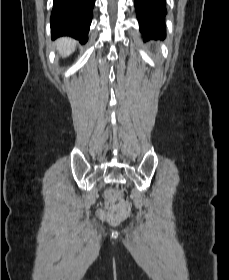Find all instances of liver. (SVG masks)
<instances>
[{
    "mask_svg": "<svg viewBox=\"0 0 229 280\" xmlns=\"http://www.w3.org/2000/svg\"><path fill=\"white\" fill-rule=\"evenodd\" d=\"M76 42L68 37L60 38L56 42V48L58 52L63 56H69L75 50Z\"/></svg>",
    "mask_w": 229,
    "mask_h": 280,
    "instance_id": "liver-1",
    "label": "liver"
}]
</instances>
